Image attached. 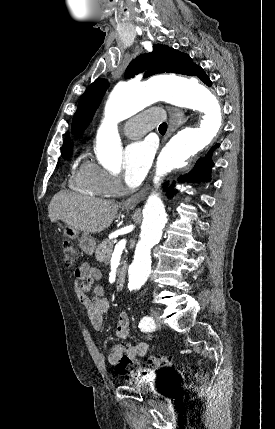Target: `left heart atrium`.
I'll list each match as a JSON object with an SVG mask.
<instances>
[{
  "label": "left heart atrium",
  "instance_id": "39dd6f15",
  "mask_svg": "<svg viewBox=\"0 0 275 429\" xmlns=\"http://www.w3.org/2000/svg\"><path fill=\"white\" fill-rule=\"evenodd\" d=\"M155 153V145L149 141L130 144L124 153V180L130 187H137L145 178Z\"/></svg>",
  "mask_w": 275,
  "mask_h": 429
}]
</instances>
